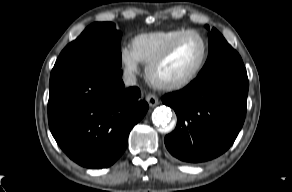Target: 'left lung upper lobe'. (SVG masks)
I'll list each match as a JSON object with an SVG mask.
<instances>
[{
  "instance_id": "5c2ea615",
  "label": "left lung upper lobe",
  "mask_w": 292,
  "mask_h": 192,
  "mask_svg": "<svg viewBox=\"0 0 292 192\" xmlns=\"http://www.w3.org/2000/svg\"><path fill=\"white\" fill-rule=\"evenodd\" d=\"M206 27L209 29L208 26ZM208 38L209 55L198 76L223 70L245 69L240 55L227 43L224 37L215 28H212L209 32Z\"/></svg>"
}]
</instances>
